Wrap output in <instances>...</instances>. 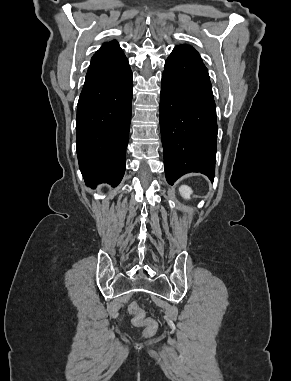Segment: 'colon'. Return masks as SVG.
<instances>
[{"label":"colon","mask_w":291,"mask_h":381,"mask_svg":"<svg viewBox=\"0 0 291 381\" xmlns=\"http://www.w3.org/2000/svg\"><path fill=\"white\" fill-rule=\"evenodd\" d=\"M128 312L132 315V324L138 327H145L147 334H152L156 330V322L150 318H146L144 311L140 308L136 301H132L128 305Z\"/></svg>","instance_id":"1"}]
</instances>
